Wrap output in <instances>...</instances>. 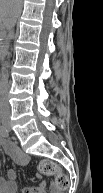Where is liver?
<instances>
[{"instance_id":"obj_1","label":"liver","mask_w":103,"mask_h":193,"mask_svg":"<svg viewBox=\"0 0 103 193\" xmlns=\"http://www.w3.org/2000/svg\"><path fill=\"white\" fill-rule=\"evenodd\" d=\"M20 7V0H0V20L3 28L13 25Z\"/></svg>"}]
</instances>
